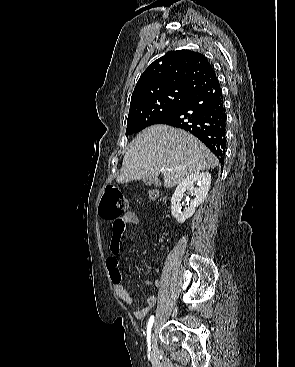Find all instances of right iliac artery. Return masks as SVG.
Listing matches in <instances>:
<instances>
[{"mask_svg":"<svg viewBox=\"0 0 295 367\" xmlns=\"http://www.w3.org/2000/svg\"><path fill=\"white\" fill-rule=\"evenodd\" d=\"M154 322V316H150L147 324V344H148V351L151 350V342H150V335H151V328Z\"/></svg>","mask_w":295,"mask_h":367,"instance_id":"1","label":"right iliac artery"}]
</instances>
